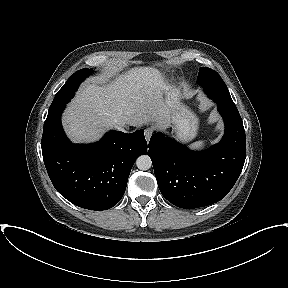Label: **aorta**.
<instances>
[{"label":"aorta","instance_id":"obj_1","mask_svg":"<svg viewBox=\"0 0 288 288\" xmlns=\"http://www.w3.org/2000/svg\"><path fill=\"white\" fill-rule=\"evenodd\" d=\"M136 166L140 170H148L152 166V161L148 155H142L136 160Z\"/></svg>","mask_w":288,"mask_h":288}]
</instances>
